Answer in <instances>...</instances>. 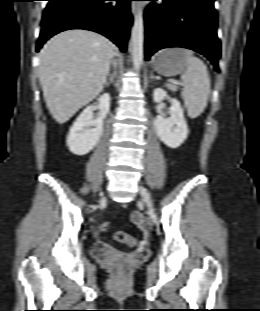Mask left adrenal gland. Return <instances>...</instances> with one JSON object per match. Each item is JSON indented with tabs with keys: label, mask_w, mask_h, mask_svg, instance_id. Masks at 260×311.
I'll return each instance as SVG.
<instances>
[{
	"label": "left adrenal gland",
	"mask_w": 260,
	"mask_h": 311,
	"mask_svg": "<svg viewBox=\"0 0 260 311\" xmlns=\"http://www.w3.org/2000/svg\"><path fill=\"white\" fill-rule=\"evenodd\" d=\"M150 79H155L153 73L151 72Z\"/></svg>",
	"instance_id": "obj_1"
}]
</instances>
